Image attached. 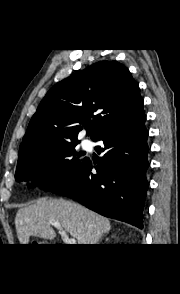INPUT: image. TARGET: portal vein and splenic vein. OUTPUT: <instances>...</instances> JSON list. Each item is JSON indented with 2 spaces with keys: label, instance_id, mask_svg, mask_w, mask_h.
<instances>
[{
  "label": "portal vein and splenic vein",
  "instance_id": "obj_1",
  "mask_svg": "<svg viewBox=\"0 0 180 294\" xmlns=\"http://www.w3.org/2000/svg\"><path fill=\"white\" fill-rule=\"evenodd\" d=\"M51 225L59 230L61 238L66 244H71V245L76 244V239L75 238H69L68 234L62 228V226H61V224L59 222L53 221V222H51Z\"/></svg>",
  "mask_w": 180,
  "mask_h": 294
}]
</instances>
